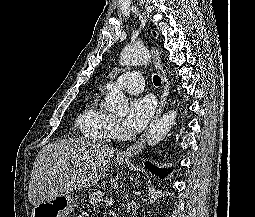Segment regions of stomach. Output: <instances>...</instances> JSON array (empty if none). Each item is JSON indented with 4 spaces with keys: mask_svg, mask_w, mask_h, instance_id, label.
Returning a JSON list of instances; mask_svg holds the SVG:
<instances>
[{
    "mask_svg": "<svg viewBox=\"0 0 255 217\" xmlns=\"http://www.w3.org/2000/svg\"><path fill=\"white\" fill-rule=\"evenodd\" d=\"M126 159L117 158L118 164H124ZM76 202L69 196H56L48 201L34 206L32 217H67L73 212Z\"/></svg>",
    "mask_w": 255,
    "mask_h": 217,
    "instance_id": "obj_1",
    "label": "stomach"
}]
</instances>
